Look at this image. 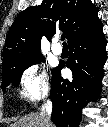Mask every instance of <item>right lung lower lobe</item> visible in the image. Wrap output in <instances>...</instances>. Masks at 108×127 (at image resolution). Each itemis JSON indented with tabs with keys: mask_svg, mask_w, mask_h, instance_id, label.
<instances>
[{
	"mask_svg": "<svg viewBox=\"0 0 108 127\" xmlns=\"http://www.w3.org/2000/svg\"><path fill=\"white\" fill-rule=\"evenodd\" d=\"M68 42L71 55L66 66L72 70L73 79L69 81L61 77L64 65L52 72L51 120L57 127H77L82 109L90 101H96L100 94L106 61V40L99 18Z\"/></svg>",
	"mask_w": 108,
	"mask_h": 127,
	"instance_id": "right-lung-lower-lobe-1",
	"label": "right lung lower lobe"
}]
</instances>
